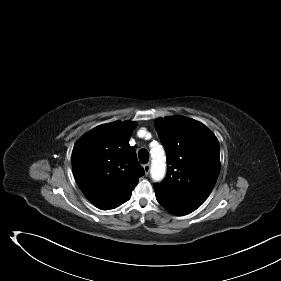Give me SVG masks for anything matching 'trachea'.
Returning a JSON list of instances; mask_svg holds the SVG:
<instances>
[{"instance_id": "obj_1", "label": "trachea", "mask_w": 281, "mask_h": 281, "mask_svg": "<svg viewBox=\"0 0 281 281\" xmlns=\"http://www.w3.org/2000/svg\"><path fill=\"white\" fill-rule=\"evenodd\" d=\"M139 161L142 164H146L149 161V152L146 149H141L138 152Z\"/></svg>"}]
</instances>
